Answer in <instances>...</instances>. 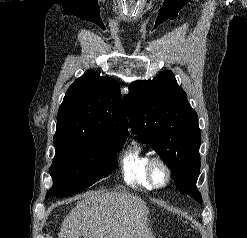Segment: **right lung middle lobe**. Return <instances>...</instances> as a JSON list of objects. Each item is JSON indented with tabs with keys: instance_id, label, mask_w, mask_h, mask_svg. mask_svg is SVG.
<instances>
[{
	"instance_id": "dd1d6c3e",
	"label": "right lung middle lobe",
	"mask_w": 247,
	"mask_h": 238,
	"mask_svg": "<svg viewBox=\"0 0 247 238\" xmlns=\"http://www.w3.org/2000/svg\"><path fill=\"white\" fill-rule=\"evenodd\" d=\"M124 142L82 136L54 138L56 155L49 171L53 186L46 199L77 194L107 177L116 168L115 158Z\"/></svg>"
}]
</instances>
